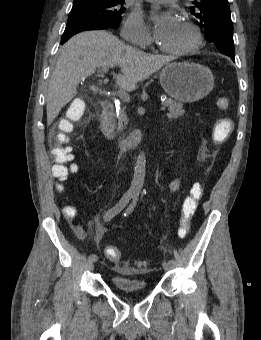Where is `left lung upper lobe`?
Listing matches in <instances>:
<instances>
[{"mask_svg": "<svg viewBox=\"0 0 261 340\" xmlns=\"http://www.w3.org/2000/svg\"><path fill=\"white\" fill-rule=\"evenodd\" d=\"M191 13L204 28L205 38L224 54L234 56L233 25L227 0H195Z\"/></svg>", "mask_w": 261, "mask_h": 340, "instance_id": "1", "label": "left lung upper lobe"}]
</instances>
